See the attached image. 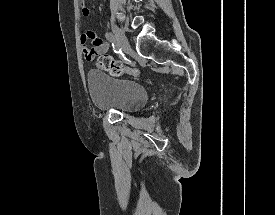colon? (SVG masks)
<instances>
[{"label": "colon", "mask_w": 275, "mask_h": 215, "mask_svg": "<svg viewBox=\"0 0 275 215\" xmlns=\"http://www.w3.org/2000/svg\"><path fill=\"white\" fill-rule=\"evenodd\" d=\"M83 8L86 7V0H81ZM96 65L98 68L108 72L112 76H120L123 73H127L132 76H138L140 71L138 68L125 65L119 60L112 58L107 54H102L97 58Z\"/></svg>", "instance_id": "1"}]
</instances>
